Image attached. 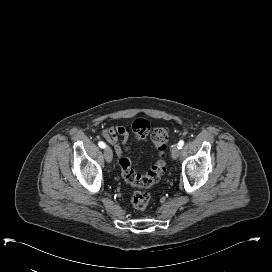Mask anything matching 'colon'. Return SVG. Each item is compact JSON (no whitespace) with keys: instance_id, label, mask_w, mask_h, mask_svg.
Listing matches in <instances>:
<instances>
[{"instance_id":"obj_1","label":"colon","mask_w":272,"mask_h":272,"mask_svg":"<svg viewBox=\"0 0 272 272\" xmlns=\"http://www.w3.org/2000/svg\"><path fill=\"white\" fill-rule=\"evenodd\" d=\"M132 130L136 140L150 138L158 151V158L149 171L143 175H137L132 167V162L127 152L129 145L123 146V155L119 160L122 177L129 183L138 187L149 188L156 184L166 170L165 152L169 140V130L166 127H152L151 123L144 118H138L132 123ZM149 194L137 191L131 197V205L138 212H144L149 205Z\"/></svg>"}]
</instances>
